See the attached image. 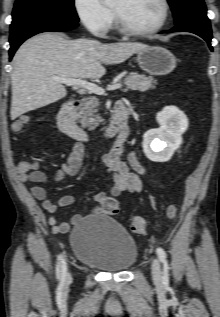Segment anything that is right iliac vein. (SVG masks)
<instances>
[{
	"label": "right iliac vein",
	"instance_id": "obj_1",
	"mask_svg": "<svg viewBox=\"0 0 220 317\" xmlns=\"http://www.w3.org/2000/svg\"><path fill=\"white\" fill-rule=\"evenodd\" d=\"M72 278H71V274L69 272L66 273L65 278H64V286L65 288L68 287V285L70 284Z\"/></svg>",
	"mask_w": 220,
	"mask_h": 317
}]
</instances>
